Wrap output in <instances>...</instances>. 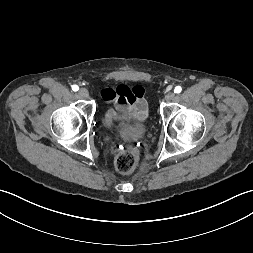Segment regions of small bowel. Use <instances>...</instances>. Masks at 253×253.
<instances>
[{"mask_svg": "<svg viewBox=\"0 0 253 253\" xmlns=\"http://www.w3.org/2000/svg\"><path fill=\"white\" fill-rule=\"evenodd\" d=\"M142 86L128 87L120 85L117 88H105L101 91L103 100L113 102L115 109L105 114V122L112 123L117 119L142 122L147 112V103Z\"/></svg>", "mask_w": 253, "mask_h": 253, "instance_id": "1", "label": "small bowel"}]
</instances>
